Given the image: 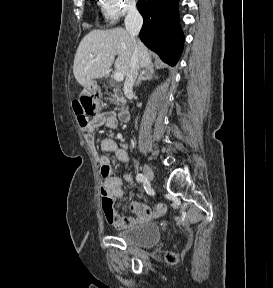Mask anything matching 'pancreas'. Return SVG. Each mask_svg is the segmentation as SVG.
<instances>
[{"instance_id":"1","label":"pancreas","mask_w":273,"mask_h":288,"mask_svg":"<svg viewBox=\"0 0 273 288\" xmlns=\"http://www.w3.org/2000/svg\"><path fill=\"white\" fill-rule=\"evenodd\" d=\"M112 86H113V85H112ZM117 91H118V90H117L116 88H114V89H113V92L115 93V97H114L113 94H111V96L114 97V99H112V101H113L114 103H116V104L119 105V102L122 100V98H121L120 96L116 95V94H117Z\"/></svg>"}]
</instances>
